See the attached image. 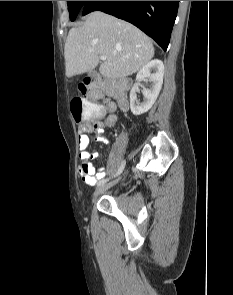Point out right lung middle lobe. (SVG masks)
I'll return each mask as SVG.
<instances>
[{
	"mask_svg": "<svg viewBox=\"0 0 233 295\" xmlns=\"http://www.w3.org/2000/svg\"><path fill=\"white\" fill-rule=\"evenodd\" d=\"M86 1H67L71 21H74Z\"/></svg>",
	"mask_w": 233,
	"mask_h": 295,
	"instance_id": "obj_1",
	"label": "right lung middle lobe"
}]
</instances>
